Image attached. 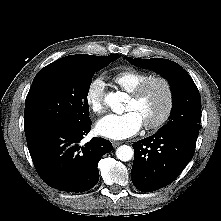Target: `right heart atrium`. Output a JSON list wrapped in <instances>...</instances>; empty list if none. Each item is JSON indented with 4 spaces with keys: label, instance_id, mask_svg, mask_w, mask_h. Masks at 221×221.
<instances>
[{
    "label": "right heart atrium",
    "instance_id": "1",
    "mask_svg": "<svg viewBox=\"0 0 221 221\" xmlns=\"http://www.w3.org/2000/svg\"><path fill=\"white\" fill-rule=\"evenodd\" d=\"M105 83L101 78L91 80L85 91V102L88 108L99 115L105 111Z\"/></svg>",
    "mask_w": 221,
    "mask_h": 221
}]
</instances>
